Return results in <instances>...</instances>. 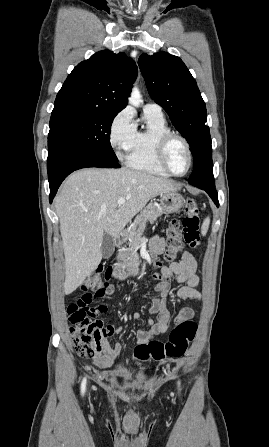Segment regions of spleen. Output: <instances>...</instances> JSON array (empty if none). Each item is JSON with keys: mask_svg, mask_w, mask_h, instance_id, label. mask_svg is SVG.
<instances>
[{"mask_svg": "<svg viewBox=\"0 0 269 447\" xmlns=\"http://www.w3.org/2000/svg\"><path fill=\"white\" fill-rule=\"evenodd\" d=\"M209 225H210V218H205V220H203V224L201 225L202 235H206Z\"/></svg>", "mask_w": 269, "mask_h": 447, "instance_id": "spleen-1", "label": "spleen"}]
</instances>
